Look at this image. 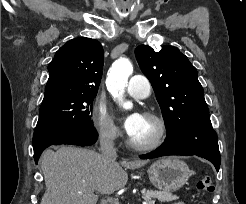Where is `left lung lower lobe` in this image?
<instances>
[{"label":"left lung lower lobe","mask_w":246,"mask_h":204,"mask_svg":"<svg viewBox=\"0 0 246 204\" xmlns=\"http://www.w3.org/2000/svg\"><path fill=\"white\" fill-rule=\"evenodd\" d=\"M166 155H197L209 160L218 171L221 159L217 134L211 121H198L176 128L167 134L160 148L140 158L151 159Z\"/></svg>","instance_id":"0a47b994"}]
</instances>
